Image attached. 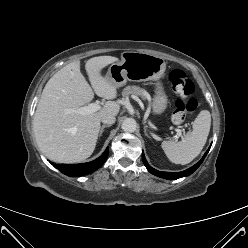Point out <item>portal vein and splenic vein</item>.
<instances>
[{"instance_id":"portal-vein-and-splenic-vein-1","label":"portal vein and splenic vein","mask_w":248,"mask_h":248,"mask_svg":"<svg viewBox=\"0 0 248 248\" xmlns=\"http://www.w3.org/2000/svg\"><path fill=\"white\" fill-rule=\"evenodd\" d=\"M132 98L134 100H136L138 103H141V100L137 96L132 95ZM100 109H101V107H100L99 103H91V104H88L87 106L81 107V108L76 109V110L75 109H68V113H74L75 112L78 114L86 115V114H91L93 112H96ZM148 123L153 129L157 130V128L152 123H150V122H148ZM175 131L177 132L178 136L182 135V132L180 129H175Z\"/></svg>"}]
</instances>
